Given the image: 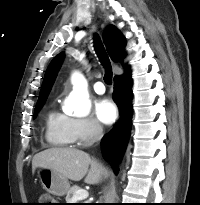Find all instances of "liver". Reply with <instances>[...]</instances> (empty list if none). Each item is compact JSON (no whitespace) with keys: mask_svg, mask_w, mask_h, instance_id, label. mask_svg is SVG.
Returning <instances> with one entry per match:
<instances>
[{"mask_svg":"<svg viewBox=\"0 0 200 205\" xmlns=\"http://www.w3.org/2000/svg\"><path fill=\"white\" fill-rule=\"evenodd\" d=\"M38 167L52 169L73 181L85 177L87 184H98L107 174L106 168L96 159L74 148H50L37 153L32 160V172Z\"/></svg>","mask_w":200,"mask_h":205,"instance_id":"6515ba94","label":"liver"}]
</instances>
